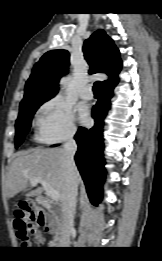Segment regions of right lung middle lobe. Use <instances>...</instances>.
Here are the masks:
<instances>
[{
  "label": "right lung middle lobe",
  "mask_w": 162,
  "mask_h": 261,
  "mask_svg": "<svg viewBox=\"0 0 162 261\" xmlns=\"http://www.w3.org/2000/svg\"><path fill=\"white\" fill-rule=\"evenodd\" d=\"M52 97L53 96H38L21 101L19 107V116L15 124V148H18L22 144L25 135L30 129L32 117L36 110L40 105Z\"/></svg>",
  "instance_id": "obj_1"
}]
</instances>
